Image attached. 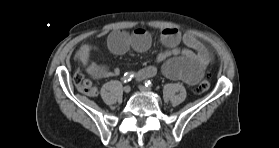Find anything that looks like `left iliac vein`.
I'll use <instances>...</instances> for the list:
<instances>
[{
    "instance_id": "left-iliac-vein-1",
    "label": "left iliac vein",
    "mask_w": 279,
    "mask_h": 148,
    "mask_svg": "<svg viewBox=\"0 0 279 148\" xmlns=\"http://www.w3.org/2000/svg\"><path fill=\"white\" fill-rule=\"evenodd\" d=\"M139 90L142 91V92H146V93L151 92V89L149 87L144 86V85H140Z\"/></svg>"
}]
</instances>
